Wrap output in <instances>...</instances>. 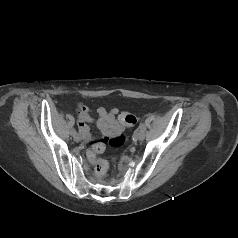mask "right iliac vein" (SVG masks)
I'll return each mask as SVG.
<instances>
[{"mask_svg": "<svg viewBox=\"0 0 238 238\" xmlns=\"http://www.w3.org/2000/svg\"><path fill=\"white\" fill-rule=\"evenodd\" d=\"M81 139H82V138H81V135H80L79 133H77V134L74 135V141L80 142Z\"/></svg>", "mask_w": 238, "mask_h": 238, "instance_id": "63e3f726", "label": "right iliac vein"}]
</instances>
